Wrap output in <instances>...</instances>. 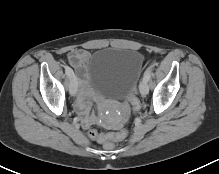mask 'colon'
<instances>
[{
  "label": "colon",
  "instance_id": "1",
  "mask_svg": "<svg viewBox=\"0 0 219 174\" xmlns=\"http://www.w3.org/2000/svg\"><path fill=\"white\" fill-rule=\"evenodd\" d=\"M129 101L132 107L133 112H138L141 109L140 100L137 96L132 93L129 97ZM128 135L127 130L123 129L115 133L103 134L97 130H90L89 137L92 140L103 143L108 149H111L114 146V142L124 140Z\"/></svg>",
  "mask_w": 219,
  "mask_h": 174
}]
</instances>
